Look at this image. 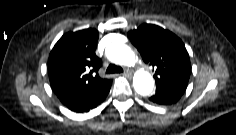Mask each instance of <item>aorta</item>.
Here are the masks:
<instances>
[{"label":"aorta","instance_id":"1","mask_svg":"<svg viewBox=\"0 0 236 135\" xmlns=\"http://www.w3.org/2000/svg\"><path fill=\"white\" fill-rule=\"evenodd\" d=\"M106 56L113 63L125 66H133L137 60L131 48L119 42L111 43L107 46ZM133 86L138 94L147 96L153 91L154 80L149 72L141 69L134 74Z\"/></svg>","mask_w":236,"mask_h":135}]
</instances>
